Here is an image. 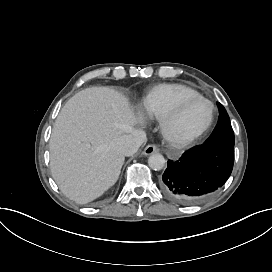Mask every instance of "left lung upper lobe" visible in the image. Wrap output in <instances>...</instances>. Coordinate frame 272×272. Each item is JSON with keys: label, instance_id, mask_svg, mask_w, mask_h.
Listing matches in <instances>:
<instances>
[{"label": "left lung upper lobe", "instance_id": "obj_1", "mask_svg": "<svg viewBox=\"0 0 272 272\" xmlns=\"http://www.w3.org/2000/svg\"><path fill=\"white\" fill-rule=\"evenodd\" d=\"M219 109V123L211 136L204 142V145H219L234 148V132L232 130L229 116L220 103H217Z\"/></svg>", "mask_w": 272, "mask_h": 272}]
</instances>
